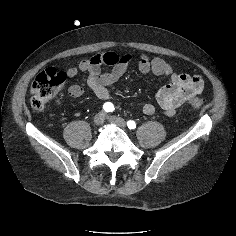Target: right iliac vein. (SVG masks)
Wrapping results in <instances>:
<instances>
[{
  "instance_id": "63e3f726",
  "label": "right iliac vein",
  "mask_w": 236,
  "mask_h": 236,
  "mask_svg": "<svg viewBox=\"0 0 236 236\" xmlns=\"http://www.w3.org/2000/svg\"><path fill=\"white\" fill-rule=\"evenodd\" d=\"M105 120V114L103 112H100L95 115L93 122L95 125L100 126L104 123Z\"/></svg>"
}]
</instances>
